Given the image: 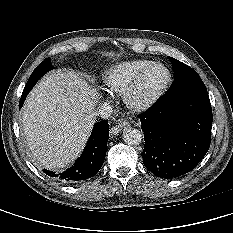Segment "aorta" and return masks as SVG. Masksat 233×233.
Wrapping results in <instances>:
<instances>
[{
    "mask_svg": "<svg viewBox=\"0 0 233 233\" xmlns=\"http://www.w3.org/2000/svg\"><path fill=\"white\" fill-rule=\"evenodd\" d=\"M123 140L127 145H139L142 140V133L135 128H127L123 131Z\"/></svg>",
    "mask_w": 233,
    "mask_h": 233,
    "instance_id": "aorta-1",
    "label": "aorta"
}]
</instances>
